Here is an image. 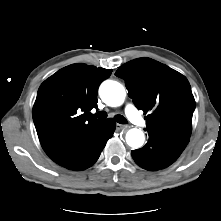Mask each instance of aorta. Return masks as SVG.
Returning <instances> with one entry per match:
<instances>
[{
  "label": "aorta",
  "instance_id": "1",
  "mask_svg": "<svg viewBox=\"0 0 221 221\" xmlns=\"http://www.w3.org/2000/svg\"><path fill=\"white\" fill-rule=\"evenodd\" d=\"M99 94L101 99L112 107L120 106L126 97L123 85L113 80L104 81L100 86ZM144 140V133L140 129L133 128L126 133V142L132 148H140Z\"/></svg>",
  "mask_w": 221,
  "mask_h": 221
}]
</instances>
